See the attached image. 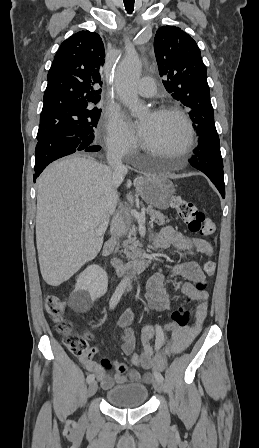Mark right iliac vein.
Masks as SVG:
<instances>
[{
    "instance_id": "obj_1",
    "label": "right iliac vein",
    "mask_w": 259,
    "mask_h": 448,
    "mask_svg": "<svg viewBox=\"0 0 259 448\" xmlns=\"http://www.w3.org/2000/svg\"><path fill=\"white\" fill-rule=\"evenodd\" d=\"M97 389H98L97 382L96 381L91 382L88 387V392H87L88 397L93 396L97 392ZM84 421H85V417L82 418V422H84Z\"/></svg>"
}]
</instances>
